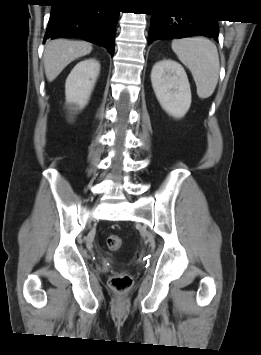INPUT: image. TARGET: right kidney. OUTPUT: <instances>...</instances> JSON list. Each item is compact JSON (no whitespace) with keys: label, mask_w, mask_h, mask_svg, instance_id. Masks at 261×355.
Listing matches in <instances>:
<instances>
[{"label":"right kidney","mask_w":261,"mask_h":355,"mask_svg":"<svg viewBox=\"0 0 261 355\" xmlns=\"http://www.w3.org/2000/svg\"><path fill=\"white\" fill-rule=\"evenodd\" d=\"M99 71L100 63L90 58L79 62L70 72L65 83V94L66 107L71 114L88 103Z\"/></svg>","instance_id":"right-kidney-1"}]
</instances>
